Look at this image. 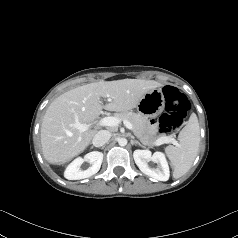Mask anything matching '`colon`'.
<instances>
[{
	"mask_svg": "<svg viewBox=\"0 0 238 238\" xmlns=\"http://www.w3.org/2000/svg\"><path fill=\"white\" fill-rule=\"evenodd\" d=\"M163 95L166 101L165 111L158 120L161 133L166 134L182 125L190 109V102L185 94L173 86H165Z\"/></svg>",
	"mask_w": 238,
	"mask_h": 238,
	"instance_id": "colon-1",
	"label": "colon"
}]
</instances>
